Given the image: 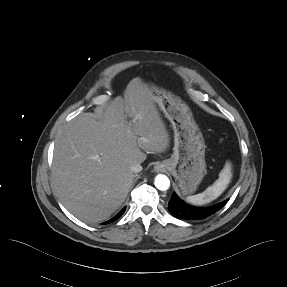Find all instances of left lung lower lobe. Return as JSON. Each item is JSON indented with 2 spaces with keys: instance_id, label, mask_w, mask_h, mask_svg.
<instances>
[{
  "instance_id": "obj_1",
  "label": "left lung lower lobe",
  "mask_w": 287,
  "mask_h": 287,
  "mask_svg": "<svg viewBox=\"0 0 287 287\" xmlns=\"http://www.w3.org/2000/svg\"><path fill=\"white\" fill-rule=\"evenodd\" d=\"M226 203L227 200L211 207H194L184 203L175 193H173L168 203V210L173 216L179 219L199 220L216 213Z\"/></svg>"
}]
</instances>
